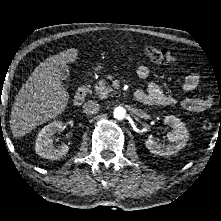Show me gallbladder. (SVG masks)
I'll use <instances>...</instances> for the list:
<instances>
[{"label":"gallbladder","instance_id":"gallbladder-1","mask_svg":"<svg viewBox=\"0 0 221 221\" xmlns=\"http://www.w3.org/2000/svg\"><path fill=\"white\" fill-rule=\"evenodd\" d=\"M58 75L60 80L67 81L70 76L69 67L66 64L60 65Z\"/></svg>","mask_w":221,"mask_h":221}]
</instances>
